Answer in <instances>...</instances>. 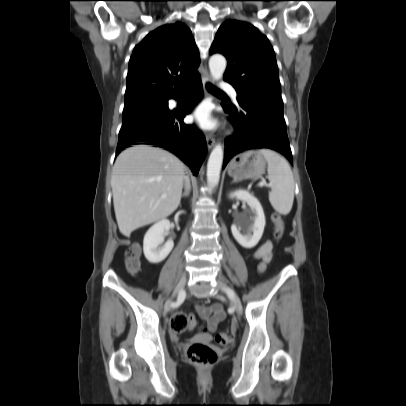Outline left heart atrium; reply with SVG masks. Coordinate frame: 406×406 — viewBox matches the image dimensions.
Here are the masks:
<instances>
[{"label":"left heart atrium","mask_w":406,"mask_h":406,"mask_svg":"<svg viewBox=\"0 0 406 406\" xmlns=\"http://www.w3.org/2000/svg\"><path fill=\"white\" fill-rule=\"evenodd\" d=\"M191 120L202 129H213L216 121L213 119L210 108L206 104L199 105L191 114Z\"/></svg>","instance_id":"1"}]
</instances>
